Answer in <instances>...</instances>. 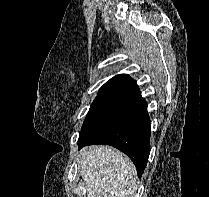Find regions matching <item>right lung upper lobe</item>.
I'll use <instances>...</instances> for the list:
<instances>
[{
    "label": "right lung upper lobe",
    "instance_id": "right-lung-upper-lobe-1",
    "mask_svg": "<svg viewBox=\"0 0 209 197\" xmlns=\"http://www.w3.org/2000/svg\"><path fill=\"white\" fill-rule=\"evenodd\" d=\"M106 84L118 85V86L125 87V88H128V89L136 90V91L139 92V88L136 84V81L133 80L127 74L116 75L115 77L110 79Z\"/></svg>",
    "mask_w": 209,
    "mask_h": 197
}]
</instances>
